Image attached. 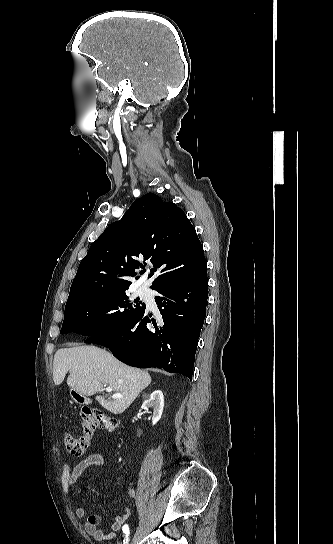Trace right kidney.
Returning <instances> with one entry per match:
<instances>
[{
  "instance_id": "obj_1",
  "label": "right kidney",
  "mask_w": 333,
  "mask_h": 544,
  "mask_svg": "<svg viewBox=\"0 0 333 544\" xmlns=\"http://www.w3.org/2000/svg\"><path fill=\"white\" fill-rule=\"evenodd\" d=\"M164 407V396L162 391L155 390L151 393L150 397L144 401L141 408L148 411L149 408L153 409L152 412V424L155 425L161 418Z\"/></svg>"
}]
</instances>
